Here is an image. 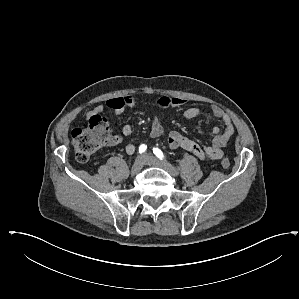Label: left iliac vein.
Here are the masks:
<instances>
[{
    "instance_id": "4c4485c4",
    "label": "left iliac vein",
    "mask_w": 299,
    "mask_h": 299,
    "mask_svg": "<svg viewBox=\"0 0 299 299\" xmlns=\"http://www.w3.org/2000/svg\"><path fill=\"white\" fill-rule=\"evenodd\" d=\"M145 163L154 167H159L167 171L172 176H178V170L168 162L161 161L155 157H152L148 154L144 155Z\"/></svg>"
}]
</instances>
